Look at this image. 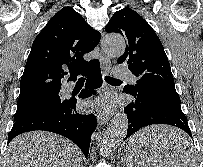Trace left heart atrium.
I'll list each match as a JSON object with an SVG mask.
<instances>
[{"instance_id": "left-heart-atrium-1", "label": "left heart atrium", "mask_w": 203, "mask_h": 167, "mask_svg": "<svg viewBox=\"0 0 203 167\" xmlns=\"http://www.w3.org/2000/svg\"><path fill=\"white\" fill-rule=\"evenodd\" d=\"M112 101L109 98H101L94 102L86 103L85 107L95 108L100 111H108L112 107Z\"/></svg>"}]
</instances>
